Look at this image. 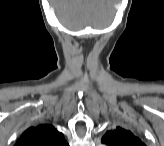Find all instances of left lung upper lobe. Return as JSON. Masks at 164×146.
I'll list each match as a JSON object with an SVG mask.
<instances>
[{
    "mask_svg": "<svg viewBox=\"0 0 164 146\" xmlns=\"http://www.w3.org/2000/svg\"><path fill=\"white\" fill-rule=\"evenodd\" d=\"M101 141L109 146H144L131 131L121 127L107 131Z\"/></svg>",
    "mask_w": 164,
    "mask_h": 146,
    "instance_id": "5c2ea615",
    "label": "left lung upper lobe"
}]
</instances>
